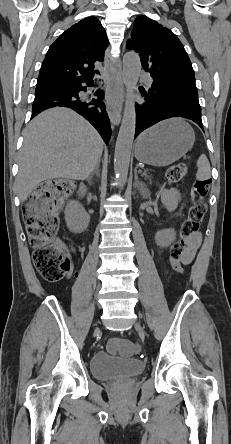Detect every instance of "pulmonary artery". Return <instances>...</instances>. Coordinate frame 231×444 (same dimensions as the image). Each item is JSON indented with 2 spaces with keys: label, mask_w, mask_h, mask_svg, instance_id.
<instances>
[{
  "label": "pulmonary artery",
  "mask_w": 231,
  "mask_h": 444,
  "mask_svg": "<svg viewBox=\"0 0 231 444\" xmlns=\"http://www.w3.org/2000/svg\"><path fill=\"white\" fill-rule=\"evenodd\" d=\"M140 79H141L142 81L146 82L147 84H150V83H151V78H150V76L147 75V74H141V75H140Z\"/></svg>",
  "instance_id": "obj_1"
}]
</instances>
